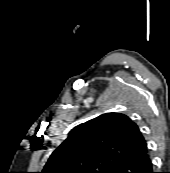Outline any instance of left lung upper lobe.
Wrapping results in <instances>:
<instances>
[{
    "label": "left lung upper lobe",
    "instance_id": "left-lung-upper-lobe-1",
    "mask_svg": "<svg viewBox=\"0 0 170 173\" xmlns=\"http://www.w3.org/2000/svg\"><path fill=\"white\" fill-rule=\"evenodd\" d=\"M146 150L144 137L128 116L106 113L72 129L41 173H114Z\"/></svg>",
    "mask_w": 170,
    "mask_h": 173
}]
</instances>
